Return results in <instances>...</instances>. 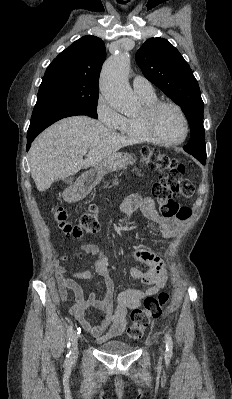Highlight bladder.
I'll list each match as a JSON object with an SVG mask.
<instances>
[{
	"instance_id": "bladder-1",
	"label": "bladder",
	"mask_w": 232,
	"mask_h": 399,
	"mask_svg": "<svg viewBox=\"0 0 232 399\" xmlns=\"http://www.w3.org/2000/svg\"><path fill=\"white\" fill-rule=\"evenodd\" d=\"M98 350L109 355H125L133 352L134 348L122 341H109L98 346Z\"/></svg>"
}]
</instances>
